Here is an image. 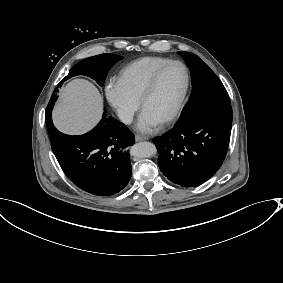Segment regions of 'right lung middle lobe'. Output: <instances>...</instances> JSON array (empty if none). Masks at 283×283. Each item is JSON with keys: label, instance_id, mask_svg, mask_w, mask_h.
I'll list each match as a JSON object with an SVG mask.
<instances>
[{"label": "right lung middle lobe", "instance_id": "obj_1", "mask_svg": "<svg viewBox=\"0 0 283 283\" xmlns=\"http://www.w3.org/2000/svg\"><path fill=\"white\" fill-rule=\"evenodd\" d=\"M121 59V56L115 54H101L86 58L73 66L62 81L75 75H86L94 79L100 86H103L108 71Z\"/></svg>", "mask_w": 283, "mask_h": 283}]
</instances>
